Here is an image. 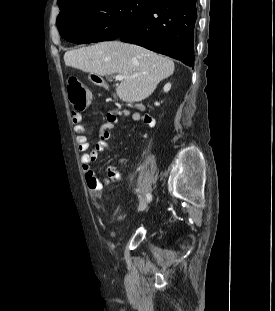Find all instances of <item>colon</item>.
Segmentation results:
<instances>
[{
    "label": "colon",
    "mask_w": 275,
    "mask_h": 311,
    "mask_svg": "<svg viewBox=\"0 0 275 311\" xmlns=\"http://www.w3.org/2000/svg\"><path fill=\"white\" fill-rule=\"evenodd\" d=\"M67 87L73 108L77 111L83 110L89 100V89L76 79H71Z\"/></svg>",
    "instance_id": "colon-1"
}]
</instances>
